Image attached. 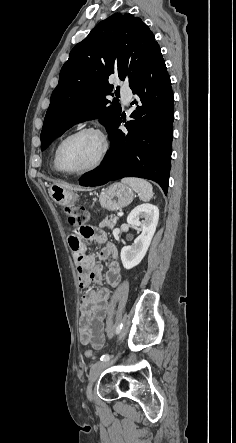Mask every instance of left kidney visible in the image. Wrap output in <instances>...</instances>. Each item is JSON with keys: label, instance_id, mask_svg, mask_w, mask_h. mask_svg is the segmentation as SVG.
Masks as SVG:
<instances>
[{"label": "left kidney", "instance_id": "left-kidney-1", "mask_svg": "<svg viewBox=\"0 0 236 443\" xmlns=\"http://www.w3.org/2000/svg\"><path fill=\"white\" fill-rule=\"evenodd\" d=\"M158 220V207L149 203L137 206L128 215L127 223L140 228L142 233L134 240L133 245L121 249L120 257L125 269H131L142 261L156 231Z\"/></svg>", "mask_w": 236, "mask_h": 443}]
</instances>
